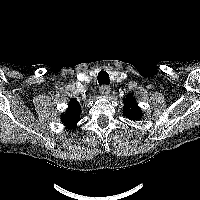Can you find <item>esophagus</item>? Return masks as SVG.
Returning a JSON list of instances; mask_svg holds the SVG:
<instances>
[{
    "label": "esophagus",
    "instance_id": "1",
    "mask_svg": "<svg viewBox=\"0 0 200 200\" xmlns=\"http://www.w3.org/2000/svg\"><path fill=\"white\" fill-rule=\"evenodd\" d=\"M100 93H101V95H103V96H108L109 93H110V87L107 86V85H102V86L100 87Z\"/></svg>",
    "mask_w": 200,
    "mask_h": 200
}]
</instances>
